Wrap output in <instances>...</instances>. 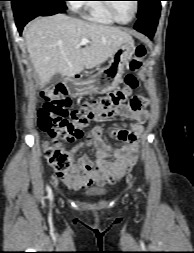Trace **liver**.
I'll list each match as a JSON object with an SVG mask.
<instances>
[{"mask_svg": "<svg viewBox=\"0 0 194 253\" xmlns=\"http://www.w3.org/2000/svg\"><path fill=\"white\" fill-rule=\"evenodd\" d=\"M26 46L41 84L53 75L73 77L84 67L105 62L124 43L134 45L122 29L57 14L28 23L23 31ZM82 38L89 44L80 43Z\"/></svg>", "mask_w": 194, "mask_h": 253, "instance_id": "1", "label": "liver"}]
</instances>
